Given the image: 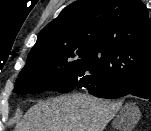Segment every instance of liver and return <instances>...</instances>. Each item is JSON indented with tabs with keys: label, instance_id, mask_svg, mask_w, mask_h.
Masks as SVG:
<instances>
[{
	"label": "liver",
	"instance_id": "liver-1",
	"mask_svg": "<svg viewBox=\"0 0 151 131\" xmlns=\"http://www.w3.org/2000/svg\"><path fill=\"white\" fill-rule=\"evenodd\" d=\"M120 104L76 93L38 102L15 131H103Z\"/></svg>",
	"mask_w": 151,
	"mask_h": 131
}]
</instances>
